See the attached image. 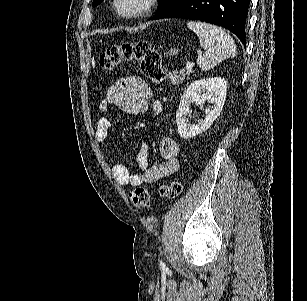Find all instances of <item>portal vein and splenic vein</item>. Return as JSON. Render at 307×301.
Listing matches in <instances>:
<instances>
[{
	"mask_svg": "<svg viewBox=\"0 0 307 301\" xmlns=\"http://www.w3.org/2000/svg\"><path fill=\"white\" fill-rule=\"evenodd\" d=\"M194 64L195 62H187L185 66L186 70H188V72H192Z\"/></svg>",
	"mask_w": 307,
	"mask_h": 301,
	"instance_id": "1",
	"label": "portal vein and splenic vein"
}]
</instances>
